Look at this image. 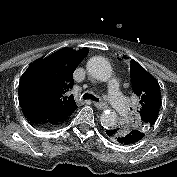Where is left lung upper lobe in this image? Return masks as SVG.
<instances>
[{
  "mask_svg": "<svg viewBox=\"0 0 177 177\" xmlns=\"http://www.w3.org/2000/svg\"><path fill=\"white\" fill-rule=\"evenodd\" d=\"M130 69L132 89L139 100V106L134 121L118 127L117 135L131 129L147 133L155 124L161 105L160 86L156 79L134 60H131Z\"/></svg>",
  "mask_w": 177,
  "mask_h": 177,
  "instance_id": "left-lung-upper-lobe-1",
  "label": "left lung upper lobe"
}]
</instances>
